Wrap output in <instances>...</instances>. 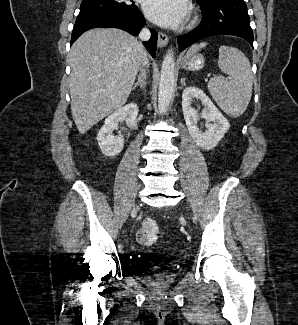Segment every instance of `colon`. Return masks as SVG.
<instances>
[{
  "instance_id": "colon-1",
  "label": "colon",
  "mask_w": 298,
  "mask_h": 325,
  "mask_svg": "<svg viewBox=\"0 0 298 325\" xmlns=\"http://www.w3.org/2000/svg\"><path fill=\"white\" fill-rule=\"evenodd\" d=\"M158 233L157 223L152 219H146L139 228L136 238L141 245L150 246L156 242Z\"/></svg>"
}]
</instances>
